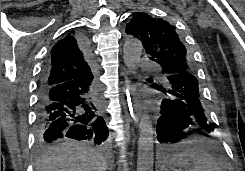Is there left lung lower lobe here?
<instances>
[{"mask_svg":"<svg viewBox=\"0 0 245 171\" xmlns=\"http://www.w3.org/2000/svg\"><path fill=\"white\" fill-rule=\"evenodd\" d=\"M164 79L167 89L152 85L166 95L156 127L157 140L163 144L175 143L185 137V129L190 126H196L201 135L209 136L215 126L209 120L194 73L171 65L166 68Z\"/></svg>","mask_w":245,"mask_h":171,"instance_id":"1","label":"left lung lower lobe"}]
</instances>
